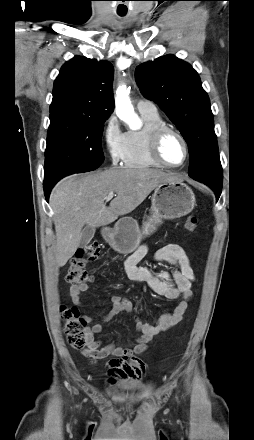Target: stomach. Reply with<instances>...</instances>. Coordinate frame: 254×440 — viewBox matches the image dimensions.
I'll use <instances>...</instances> for the list:
<instances>
[{"label": "stomach", "mask_w": 254, "mask_h": 440, "mask_svg": "<svg viewBox=\"0 0 254 440\" xmlns=\"http://www.w3.org/2000/svg\"><path fill=\"white\" fill-rule=\"evenodd\" d=\"M195 206L192 189L180 180L159 184L152 196L151 216L142 229L131 217H123L113 228L103 231L104 239L118 253L129 254L137 249L143 236L153 233L162 219H176L189 214Z\"/></svg>", "instance_id": "1"}]
</instances>
